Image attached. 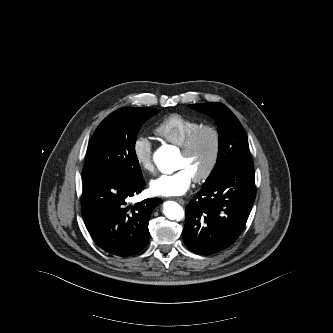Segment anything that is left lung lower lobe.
<instances>
[{"label":"left lung lower lobe","mask_w":333,"mask_h":333,"mask_svg":"<svg viewBox=\"0 0 333 333\" xmlns=\"http://www.w3.org/2000/svg\"><path fill=\"white\" fill-rule=\"evenodd\" d=\"M253 166L230 170L202 186L186 207L183 239L193 252L210 255L232 245L255 200Z\"/></svg>","instance_id":"left-lung-lower-lobe-1"}]
</instances>
